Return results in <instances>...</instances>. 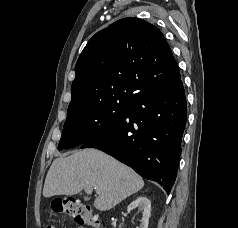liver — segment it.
Here are the masks:
<instances>
[{"mask_svg":"<svg viewBox=\"0 0 238 228\" xmlns=\"http://www.w3.org/2000/svg\"><path fill=\"white\" fill-rule=\"evenodd\" d=\"M144 187L131 168L97 149L77 151L55 159L47 173L43 196L75 195L96 188L94 207L107 211Z\"/></svg>","mask_w":238,"mask_h":228,"instance_id":"6515ba94","label":"liver"}]
</instances>
